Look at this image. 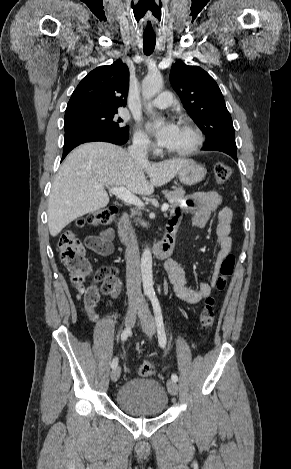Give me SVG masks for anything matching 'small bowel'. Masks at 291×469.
I'll list each match as a JSON object with an SVG mask.
<instances>
[{"instance_id": "small-bowel-1", "label": "small bowel", "mask_w": 291, "mask_h": 469, "mask_svg": "<svg viewBox=\"0 0 291 469\" xmlns=\"http://www.w3.org/2000/svg\"><path fill=\"white\" fill-rule=\"evenodd\" d=\"M220 205L221 197L215 191L195 193L188 197L180 208L173 210L168 226L178 229L185 212L190 215L191 223L194 227L203 228ZM232 218L233 213L229 207L224 206L219 210L216 226L218 251L210 281L201 282L197 289H191L186 284V275L182 265L175 259L165 263L164 268L174 292L180 300L188 304H196L211 294L219 274L221 262L232 251V239L230 237ZM110 236L111 232L106 231L100 236L90 237L88 245L93 251L107 255L111 252ZM117 293L118 290L111 293V295L116 296Z\"/></svg>"}]
</instances>
